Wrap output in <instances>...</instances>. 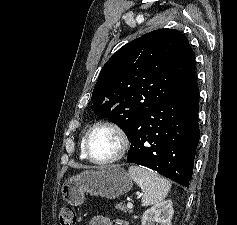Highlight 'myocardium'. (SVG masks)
<instances>
[{"mask_svg": "<svg viewBox=\"0 0 237 225\" xmlns=\"http://www.w3.org/2000/svg\"><path fill=\"white\" fill-rule=\"evenodd\" d=\"M99 129H107L113 132L118 139V148L117 151L109 158L106 159H97L92 156L89 149V142L91 135ZM129 138L126 132L117 124L109 121H101L94 124L85 134L83 141V150L85 156L95 164L99 165H109L121 160L127 153L129 149Z\"/></svg>", "mask_w": 237, "mask_h": 225, "instance_id": "1", "label": "myocardium"}]
</instances>
